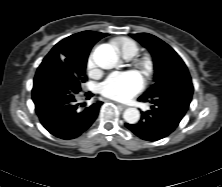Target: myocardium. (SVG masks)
I'll return each mask as SVG.
<instances>
[{
  "mask_svg": "<svg viewBox=\"0 0 222 187\" xmlns=\"http://www.w3.org/2000/svg\"><path fill=\"white\" fill-rule=\"evenodd\" d=\"M137 65L146 74H149L152 71V62L149 58H142L137 62Z\"/></svg>",
  "mask_w": 222,
  "mask_h": 187,
  "instance_id": "f54148a6",
  "label": "myocardium"
}]
</instances>
